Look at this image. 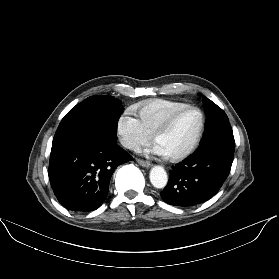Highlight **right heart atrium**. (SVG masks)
Returning <instances> with one entry per match:
<instances>
[{"label": "right heart atrium", "instance_id": "d8ad5b80", "mask_svg": "<svg viewBox=\"0 0 279 279\" xmlns=\"http://www.w3.org/2000/svg\"><path fill=\"white\" fill-rule=\"evenodd\" d=\"M116 134L121 144L132 151L139 150L151 140V134L145 130L139 118L128 110L118 116Z\"/></svg>", "mask_w": 279, "mask_h": 279}]
</instances>
